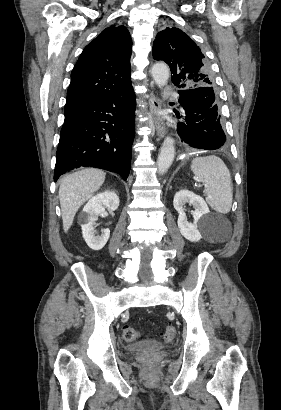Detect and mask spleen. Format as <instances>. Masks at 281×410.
<instances>
[{"mask_svg":"<svg viewBox=\"0 0 281 410\" xmlns=\"http://www.w3.org/2000/svg\"><path fill=\"white\" fill-rule=\"evenodd\" d=\"M191 170L204 183L203 192L211 208L227 214L232 206L233 187L230 172L223 160L215 155L196 157L191 162Z\"/></svg>","mask_w":281,"mask_h":410,"instance_id":"1","label":"spleen"}]
</instances>
